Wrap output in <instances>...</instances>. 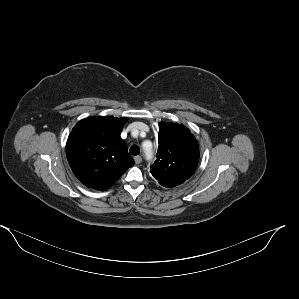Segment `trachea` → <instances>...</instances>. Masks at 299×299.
Returning <instances> with one entry per match:
<instances>
[{"label":"trachea","instance_id":"3493384b","mask_svg":"<svg viewBox=\"0 0 299 299\" xmlns=\"http://www.w3.org/2000/svg\"><path fill=\"white\" fill-rule=\"evenodd\" d=\"M129 152L131 155H138L140 153V148L134 145L130 148Z\"/></svg>","mask_w":299,"mask_h":299}]
</instances>
